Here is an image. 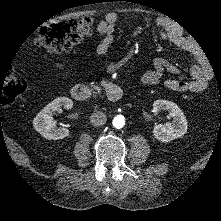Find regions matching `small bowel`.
Instances as JSON below:
<instances>
[{
    "instance_id": "small-bowel-1",
    "label": "small bowel",
    "mask_w": 221,
    "mask_h": 221,
    "mask_svg": "<svg viewBox=\"0 0 221 221\" xmlns=\"http://www.w3.org/2000/svg\"><path fill=\"white\" fill-rule=\"evenodd\" d=\"M117 20V14L111 12L106 15L105 20H102L98 23L97 31L100 35L103 36V38L96 46L97 55H106L113 45L115 40L114 34L116 30ZM158 24L164 25L163 20L158 19ZM161 37L169 38L172 43L183 50L192 51L193 49V44L190 40L175 34L170 29L167 33L162 32ZM128 59L129 56L120 61L110 63L107 66V71L109 73L116 72L126 63ZM165 72L178 74L180 70L176 64L169 62L168 60L163 58H156L153 61V69L144 72L141 77V81L146 85L157 84ZM189 74L191 76V80L189 81L184 79H166L164 81V86L167 89L175 92H203L207 88L208 81L210 79L209 72L200 65L192 63L189 66Z\"/></svg>"
}]
</instances>
